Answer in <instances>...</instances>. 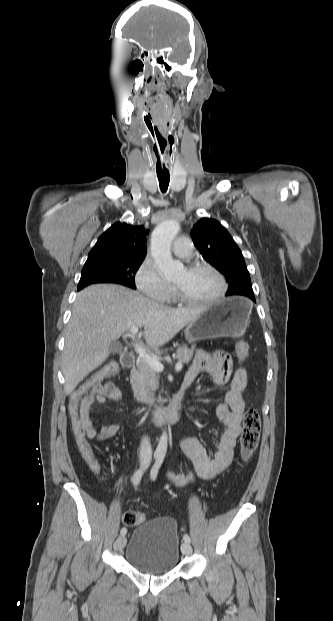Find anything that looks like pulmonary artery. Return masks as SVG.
<instances>
[{
	"label": "pulmonary artery",
	"mask_w": 333,
	"mask_h": 621,
	"mask_svg": "<svg viewBox=\"0 0 333 621\" xmlns=\"http://www.w3.org/2000/svg\"><path fill=\"white\" fill-rule=\"evenodd\" d=\"M172 251L174 255L180 258H186L191 254V242L187 237H179L173 244Z\"/></svg>",
	"instance_id": "1"
}]
</instances>
